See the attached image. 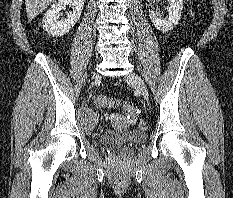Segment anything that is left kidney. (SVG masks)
Segmentation results:
<instances>
[{
	"label": "left kidney",
	"mask_w": 233,
	"mask_h": 198,
	"mask_svg": "<svg viewBox=\"0 0 233 198\" xmlns=\"http://www.w3.org/2000/svg\"><path fill=\"white\" fill-rule=\"evenodd\" d=\"M169 2L167 7L168 16L166 18H161L154 10L149 11L152 23L162 32H168L178 24L183 9V0H169Z\"/></svg>",
	"instance_id": "5707ae66"
}]
</instances>
